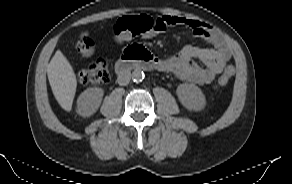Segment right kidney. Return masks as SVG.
I'll return each mask as SVG.
<instances>
[{"label":"right kidney","instance_id":"1","mask_svg":"<svg viewBox=\"0 0 292 184\" xmlns=\"http://www.w3.org/2000/svg\"><path fill=\"white\" fill-rule=\"evenodd\" d=\"M104 90L102 88H88L80 94L77 100V113L83 117L94 114L99 108Z\"/></svg>","mask_w":292,"mask_h":184}]
</instances>
